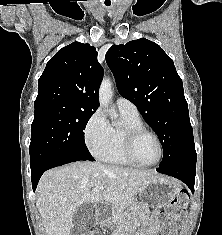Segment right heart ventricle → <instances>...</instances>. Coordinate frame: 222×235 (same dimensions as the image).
<instances>
[{"label": "right heart ventricle", "instance_id": "e07e8e85", "mask_svg": "<svg viewBox=\"0 0 222 235\" xmlns=\"http://www.w3.org/2000/svg\"><path fill=\"white\" fill-rule=\"evenodd\" d=\"M121 112L122 122L118 126H110V137L106 148L99 157L109 163L127 165L130 164L122 152V130L126 126L144 125L139 114Z\"/></svg>", "mask_w": 222, "mask_h": 235}]
</instances>
